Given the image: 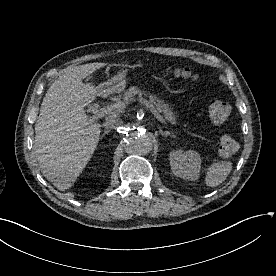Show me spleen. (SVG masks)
<instances>
[{"label": "spleen", "mask_w": 276, "mask_h": 276, "mask_svg": "<svg viewBox=\"0 0 276 276\" xmlns=\"http://www.w3.org/2000/svg\"><path fill=\"white\" fill-rule=\"evenodd\" d=\"M232 170V162L219 161L211 164L205 177L208 187H216L224 182Z\"/></svg>", "instance_id": "spleen-1"}]
</instances>
